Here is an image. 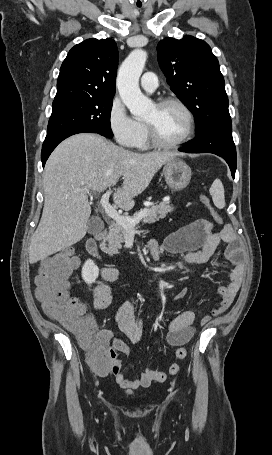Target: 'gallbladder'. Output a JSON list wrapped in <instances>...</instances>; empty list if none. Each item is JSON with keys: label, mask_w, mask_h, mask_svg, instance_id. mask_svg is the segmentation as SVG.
<instances>
[{"label": "gallbladder", "mask_w": 272, "mask_h": 455, "mask_svg": "<svg viewBox=\"0 0 272 455\" xmlns=\"http://www.w3.org/2000/svg\"><path fill=\"white\" fill-rule=\"evenodd\" d=\"M104 225H103V222L100 218L98 217H92L89 221H88V233L89 234H98L102 231Z\"/></svg>", "instance_id": "gallbladder-1"}]
</instances>
